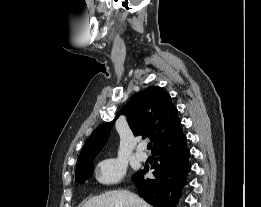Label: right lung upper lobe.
<instances>
[{"label": "right lung upper lobe", "mask_w": 261, "mask_h": 207, "mask_svg": "<svg viewBox=\"0 0 261 207\" xmlns=\"http://www.w3.org/2000/svg\"><path fill=\"white\" fill-rule=\"evenodd\" d=\"M121 114L127 117L135 136L150 138L154 145L153 152L184 137L178 111L172 104L170 95L160 87H148L136 93L112 122L103 123L92 132L84 144L77 165L96 157L108 140L115 120Z\"/></svg>", "instance_id": "obj_1"}]
</instances>
